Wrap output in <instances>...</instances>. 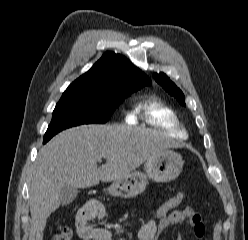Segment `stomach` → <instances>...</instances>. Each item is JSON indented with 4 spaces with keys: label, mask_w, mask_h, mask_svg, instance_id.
I'll return each mask as SVG.
<instances>
[{
    "label": "stomach",
    "mask_w": 248,
    "mask_h": 240,
    "mask_svg": "<svg viewBox=\"0 0 248 240\" xmlns=\"http://www.w3.org/2000/svg\"><path fill=\"white\" fill-rule=\"evenodd\" d=\"M184 161L179 153L163 151L145 163V173L132 172L127 177L113 181L107 188L111 196L132 198L142 193L148 179L155 182H169L174 180L182 171Z\"/></svg>",
    "instance_id": "1"
}]
</instances>
